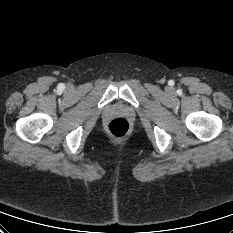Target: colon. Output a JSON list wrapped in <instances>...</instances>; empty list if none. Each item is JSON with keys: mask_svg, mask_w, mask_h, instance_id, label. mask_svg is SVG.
Listing matches in <instances>:
<instances>
[{"mask_svg": "<svg viewBox=\"0 0 233 233\" xmlns=\"http://www.w3.org/2000/svg\"><path fill=\"white\" fill-rule=\"evenodd\" d=\"M107 130L116 139L125 138L130 131L129 122L124 118H116L109 122Z\"/></svg>", "mask_w": 233, "mask_h": 233, "instance_id": "1", "label": "colon"}]
</instances>
